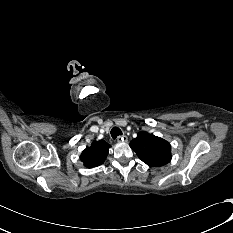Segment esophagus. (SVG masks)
<instances>
[{"instance_id": "obj_1", "label": "esophagus", "mask_w": 233, "mask_h": 233, "mask_svg": "<svg viewBox=\"0 0 233 233\" xmlns=\"http://www.w3.org/2000/svg\"><path fill=\"white\" fill-rule=\"evenodd\" d=\"M128 141V138L126 135H119L117 137V142L121 143V142H127Z\"/></svg>"}]
</instances>
